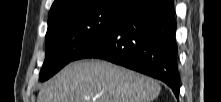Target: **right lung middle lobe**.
I'll return each mask as SVG.
<instances>
[{
  "mask_svg": "<svg viewBox=\"0 0 221 102\" xmlns=\"http://www.w3.org/2000/svg\"><path fill=\"white\" fill-rule=\"evenodd\" d=\"M134 8L130 0H84L48 19L45 61L40 80L74 61L92 42Z\"/></svg>",
  "mask_w": 221,
  "mask_h": 102,
  "instance_id": "obj_1",
  "label": "right lung middle lobe"
}]
</instances>
